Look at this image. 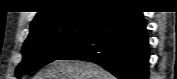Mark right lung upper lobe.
Here are the masks:
<instances>
[{
  "label": "right lung upper lobe",
  "mask_w": 177,
  "mask_h": 79,
  "mask_svg": "<svg viewBox=\"0 0 177 79\" xmlns=\"http://www.w3.org/2000/svg\"><path fill=\"white\" fill-rule=\"evenodd\" d=\"M37 13L31 23V30L45 24L70 20L93 13L103 14L107 9L127 6L126 0H50Z\"/></svg>",
  "instance_id": "cb5924a9"
}]
</instances>
